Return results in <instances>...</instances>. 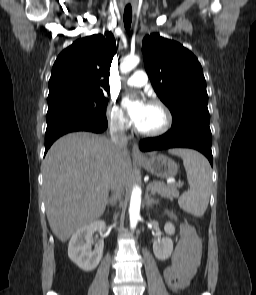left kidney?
<instances>
[{"instance_id": "5707ae66", "label": "left kidney", "mask_w": 256, "mask_h": 295, "mask_svg": "<svg viewBox=\"0 0 256 295\" xmlns=\"http://www.w3.org/2000/svg\"><path fill=\"white\" fill-rule=\"evenodd\" d=\"M167 237L157 239L153 243V252L158 260L165 261L173 252V241L170 238L175 233V227L172 223L167 222L164 226Z\"/></svg>"}]
</instances>
